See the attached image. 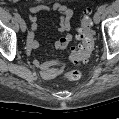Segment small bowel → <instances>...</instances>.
<instances>
[{"mask_svg": "<svg viewBox=\"0 0 119 119\" xmlns=\"http://www.w3.org/2000/svg\"><path fill=\"white\" fill-rule=\"evenodd\" d=\"M51 11L59 14V20L56 28L59 32L64 33L61 38L54 41V47L56 49H65L72 40V36L68 32L71 28L73 12L68 6L59 2L52 5L39 4L31 6L28 14L31 21V29L27 36V53L29 55L34 49L39 47V42L35 38L38 31V16L43 12ZM32 62L33 65L39 69L41 77L46 80L57 78L63 70V66L60 61L41 62L38 59H33Z\"/></svg>", "mask_w": 119, "mask_h": 119, "instance_id": "obj_1", "label": "small bowel"}]
</instances>
